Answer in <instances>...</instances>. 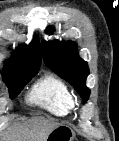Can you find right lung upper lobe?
<instances>
[{
	"instance_id": "obj_1",
	"label": "right lung upper lobe",
	"mask_w": 119,
	"mask_h": 141,
	"mask_svg": "<svg viewBox=\"0 0 119 141\" xmlns=\"http://www.w3.org/2000/svg\"><path fill=\"white\" fill-rule=\"evenodd\" d=\"M41 65L40 44L36 37L29 46H20L11 60L5 62L3 75H21L39 71Z\"/></svg>"
}]
</instances>
